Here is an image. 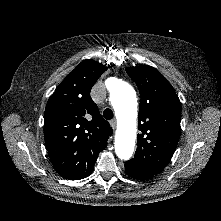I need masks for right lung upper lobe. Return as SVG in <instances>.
<instances>
[{"label":"right lung upper lobe","instance_id":"cb5924a9","mask_svg":"<svg viewBox=\"0 0 221 221\" xmlns=\"http://www.w3.org/2000/svg\"><path fill=\"white\" fill-rule=\"evenodd\" d=\"M106 70L96 61L83 60L47 102L44 139L55 170L66 179L88 177L112 134L90 97L93 85Z\"/></svg>","mask_w":221,"mask_h":221}]
</instances>
